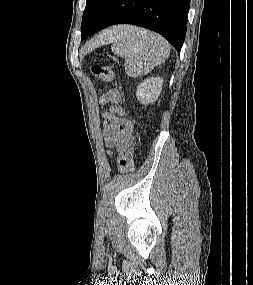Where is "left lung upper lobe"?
I'll return each instance as SVG.
<instances>
[{
  "label": "left lung upper lobe",
  "mask_w": 253,
  "mask_h": 285,
  "mask_svg": "<svg viewBox=\"0 0 253 285\" xmlns=\"http://www.w3.org/2000/svg\"><path fill=\"white\" fill-rule=\"evenodd\" d=\"M111 0H86L82 17L81 35L85 39L107 9Z\"/></svg>",
  "instance_id": "1"
}]
</instances>
